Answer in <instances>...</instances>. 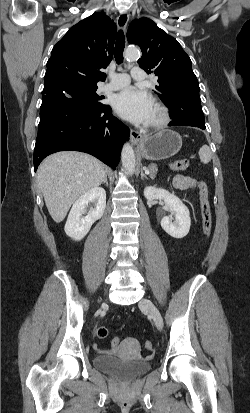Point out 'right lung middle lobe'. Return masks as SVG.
<instances>
[{
  "instance_id": "dd1d6c3e",
  "label": "right lung middle lobe",
  "mask_w": 250,
  "mask_h": 413,
  "mask_svg": "<svg viewBox=\"0 0 250 413\" xmlns=\"http://www.w3.org/2000/svg\"><path fill=\"white\" fill-rule=\"evenodd\" d=\"M97 87L69 86L55 89L42 96L41 108L55 102H72L90 107H102L103 96L96 94ZM40 108V109H41Z\"/></svg>"
}]
</instances>
